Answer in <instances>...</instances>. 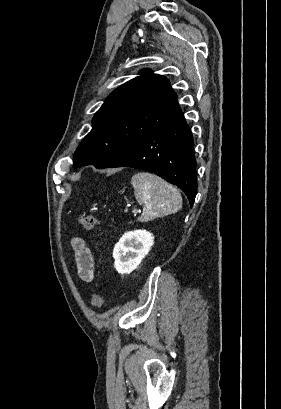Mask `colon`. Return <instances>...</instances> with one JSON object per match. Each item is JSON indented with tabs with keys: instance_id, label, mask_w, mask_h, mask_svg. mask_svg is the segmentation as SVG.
Here are the masks:
<instances>
[{
	"instance_id": "5ec220e1",
	"label": "colon",
	"mask_w": 281,
	"mask_h": 409,
	"mask_svg": "<svg viewBox=\"0 0 281 409\" xmlns=\"http://www.w3.org/2000/svg\"><path fill=\"white\" fill-rule=\"evenodd\" d=\"M78 221L87 230H92L98 225V220L95 216L86 213H80L77 216ZM104 305V296L101 290H97L93 296V307L95 311L100 312Z\"/></svg>"
}]
</instances>
